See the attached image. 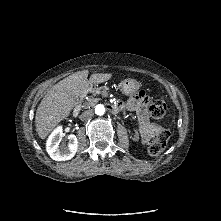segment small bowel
<instances>
[{
  "label": "small bowel",
  "mask_w": 221,
  "mask_h": 221,
  "mask_svg": "<svg viewBox=\"0 0 221 221\" xmlns=\"http://www.w3.org/2000/svg\"><path fill=\"white\" fill-rule=\"evenodd\" d=\"M128 107L137 113L142 142L144 144L149 143L154 137H156L161 127L150 120L145 98L142 96L131 98L128 101Z\"/></svg>",
  "instance_id": "c3829d8e"
}]
</instances>
